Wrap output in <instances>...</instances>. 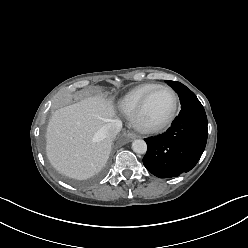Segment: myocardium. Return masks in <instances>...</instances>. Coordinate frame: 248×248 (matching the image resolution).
Here are the masks:
<instances>
[{
    "mask_svg": "<svg viewBox=\"0 0 248 248\" xmlns=\"http://www.w3.org/2000/svg\"><path fill=\"white\" fill-rule=\"evenodd\" d=\"M155 89L167 90L173 98V105H172L171 111L163 120H161L160 122L155 123V124H148L142 120V115H143L147 100H148L150 94ZM177 110H178V97H177L175 91L172 88H170L169 86L162 85V84H156L151 89H149L145 93V95L142 97L138 107L136 108L135 112L132 115V122H133L134 127L137 130H139L140 132L158 133V132L165 130L166 128H168L172 124V122L174 121V119L176 117Z\"/></svg>",
    "mask_w": 248,
    "mask_h": 248,
    "instance_id": "obj_1",
    "label": "myocardium"
}]
</instances>
